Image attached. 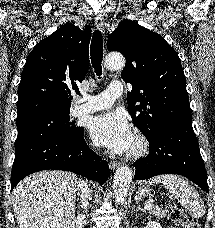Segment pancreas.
<instances>
[{
	"instance_id": "1",
	"label": "pancreas",
	"mask_w": 215,
	"mask_h": 228,
	"mask_svg": "<svg viewBox=\"0 0 215 228\" xmlns=\"http://www.w3.org/2000/svg\"><path fill=\"white\" fill-rule=\"evenodd\" d=\"M149 214H151V216H158V218H166L163 208H152V210H149Z\"/></svg>"
}]
</instances>
